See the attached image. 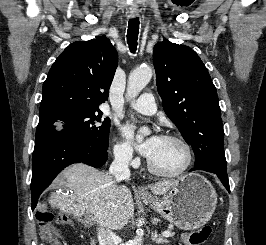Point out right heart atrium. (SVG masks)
<instances>
[{"label":"right heart atrium","mask_w":266,"mask_h":245,"mask_svg":"<svg viewBox=\"0 0 266 245\" xmlns=\"http://www.w3.org/2000/svg\"><path fill=\"white\" fill-rule=\"evenodd\" d=\"M113 156L115 160L123 164H134L136 158L132 147L123 141H117L113 145Z\"/></svg>","instance_id":"obj_1"}]
</instances>
